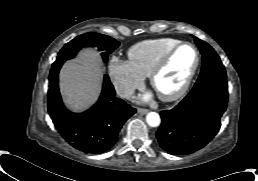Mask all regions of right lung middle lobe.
<instances>
[{
  "mask_svg": "<svg viewBox=\"0 0 258 181\" xmlns=\"http://www.w3.org/2000/svg\"><path fill=\"white\" fill-rule=\"evenodd\" d=\"M120 43L115 39L99 34V33H85L77 36L70 42L64 45V47L58 53L56 61H66L75 57L77 52L83 47H96L101 51L103 61L106 62L108 55L112 53Z\"/></svg>",
  "mask_w": 258,
  "mask_h": 181,
  "instance_id": "right-lung-middle-lobe-1",
  "label": "right lung middle lobe"
}]
</instances>
